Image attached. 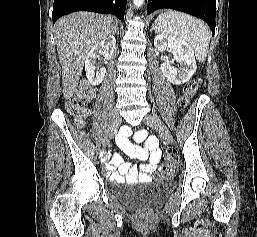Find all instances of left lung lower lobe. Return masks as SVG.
I'll return each instance as SVG.
<instances>
[{"instance_id":"1","label":"left lung lower lobe","mask_w":257,"mask_h":237,"mask_svg":"<svg viewBox=\"0 0 257 237\" xmlns=\"http://www.w3.org/2000/svg\"><path fill=\"white\" fill-rule=\"evenodd\" d=\"M170 8L203 19L215 33V0H148L147 14L157 9Z\"/></svg>"}]
</instances>
